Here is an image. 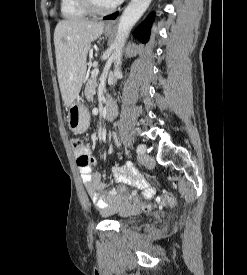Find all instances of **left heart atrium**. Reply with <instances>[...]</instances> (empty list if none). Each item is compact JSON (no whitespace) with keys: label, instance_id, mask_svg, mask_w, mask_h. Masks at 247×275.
I'll list each match as a JSON object with an SVG mask.
<instances>
[{"label":"left heart atrium","instance_id":"obj_1","mask_svg":"<svg viewBox=\"0 0 247 275\" xmlns=\"http://www.w3.org/2000/svg\"><path fill=\"white\" fill-rule=\"evenodd\" d=\"M122 0H114V4L120 3Z\"/></svg>","mask_w":247,"mask_h":275}]
</instances>
